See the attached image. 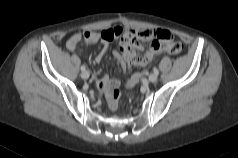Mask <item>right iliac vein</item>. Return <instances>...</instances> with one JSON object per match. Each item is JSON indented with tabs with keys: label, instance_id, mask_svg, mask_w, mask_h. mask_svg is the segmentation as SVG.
<instances>
[{
	"label": "right iliac vein",
	"instance_id": "1",
	"mask_svg": "<svg viewBox=\"0 0 238 158\" xmlns=\"http://www.w3.org/2000/svg\"><path fill=\"white\" fill-rule=\"evenodd\" d=\"M89 76H90V73H89L87 70H85V71H83V72L81 73V77H82L83 79H88Z\"/></svg>",
	"mask_w": 238,
	"mask_h": 158
}]
</instances>
